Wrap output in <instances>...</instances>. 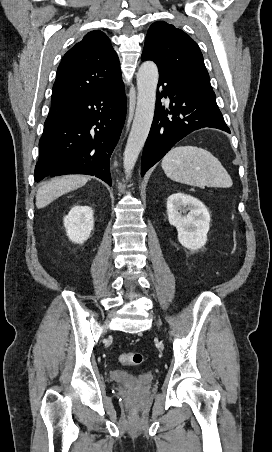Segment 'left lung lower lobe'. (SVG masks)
I'll return each mask as SVG.
<instances>
[{"label":"left lung lower lobe","instance_id":"0a47b994","mask_svg":"<svg viewBox=\"0 0 272 452\" xmlns=\"http://www.w3.org/2000/svg\"><path fill=\"white\" fill-rule=\"evenodd\" d=\"M160 85L163 86L162 96L170 98V107L166 109L157 98L153 123L143 150L141 176L179 140L195 130L210 127L230 133L213 89L169 72L159 73L158 87ZM168 114L173 117L168 118Z\"/></svg>","mask_w":272,"mask_h":452}]
</instances>
